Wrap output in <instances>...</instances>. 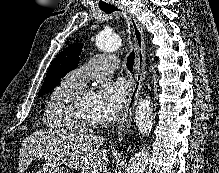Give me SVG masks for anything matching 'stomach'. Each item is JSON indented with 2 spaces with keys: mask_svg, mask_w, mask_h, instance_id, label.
<instances>
[{
  "mask_svg": "<svg viewBox=\"0 0 219 173\" xmlns=\"http://www.w3.org/2000/svg\"><path fill=\"white\" fill-rule=\"evenodd\" d=\"M43 173H69L57 159H49L43 166Z\"/></svg>",
  "mask_w": 219,
  "mask_h": 173,
  "instance_id": "stomach-1",
  "label": "stomach"
}]
</instances>
